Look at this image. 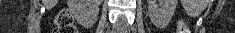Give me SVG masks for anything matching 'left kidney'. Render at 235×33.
Here are the masks:
<instances>
[{"label": "left kidney", "instance_id": "obj_1", "mask_svg": "<svg viewBox=\"0 0 235 33\" xmlns=\"http://www.w3.org/2000/svg\"><path fill=\"white\" fill-rule=\"evenodd\" d=\"M148 14L151 21L156 25H167L175 12L177 0H147Z\"/></svg>", "mask_w": 235, "mask_h": 33}]
</instances>
